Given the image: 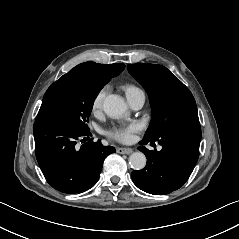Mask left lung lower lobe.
<instances>
[{"label": "left lung lower lobe", "instance_id": "0a47b994", "mask_svg": "<svg viewBox=\"0 0 239 239\" xmlns=\"http://www.w3.org/2000/svg\"><path fill=\"white\" fill-rule=\"evenodd\" d=\"M161 151H149L144 146L138 149L147 157L146 167L131 173L134 184L141 190L164 195L179 189L191 175L199 157L201 141L200 124L185 123L165 131L156 140ZM154 144L146 138L140 142Z\"/></svg>", "mask_w": 239, "mask_h": 239}]
</instances>
